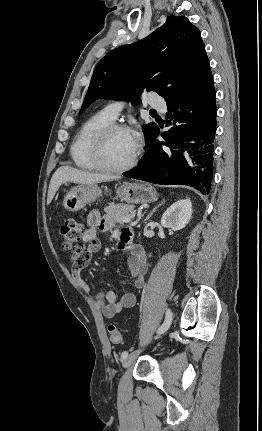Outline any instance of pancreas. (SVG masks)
I'll return each instance as SVG.
<instances>
[{"mask_svg":"<svg viewBox=\"0 0 262 431\" xmlns=\"http://www.w3.org/2000/svg\"><path fill=\"white\" fill-rule=\"evenodd\" d=\"M107 216L119 224H124L125 217H133L135 215L134 207L127 204L110 205L104 209Z\"/></svg>","mask_w":262,"mask_h":431,"instance_id":"obj_1","label":"pancreas"}]
</instances>
